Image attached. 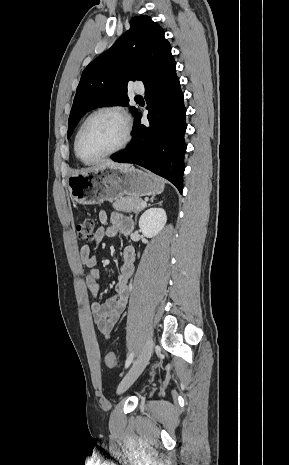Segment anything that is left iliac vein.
I'll return each instance as SVG.
<instances>
[{
    "label": "left iliac vein",
    "mask_w": 289,
    "mask_h": 465,
    "mask_svg": "<svg viewBox=\"0 0 289 465\" xmlns=\"http://www.w3.org/2000/svg\"><path fill=\"white\" fill-rule=\"evenodd\" d=\"M153 345L154 343H153L152 338H149L147 342L145 343L139 356L133 363L132 367L129 369L127 374L124 376V378L120 382L118 389H117L118 394L125 392L143 372L152 354Z\"/></svg>",
    "instance_id": "1"
}]
</instances>
